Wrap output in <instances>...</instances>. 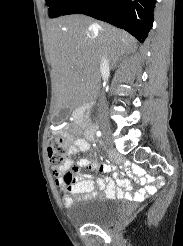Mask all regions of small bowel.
Here are the masks:
<instances>
[{
	"mask_svg": "<svg viewBox=\"0 0 183 246\" xmlns=\"http://www.w3.org/2000/svg\"><path fill=\"white\" fill-rule=\"evenodd\" d=\"M67 139H70L69 135H66ZM89 139V138H88ZM90 145L87 139L79 138L68 147V155L72 156L78 152H88ZM88 169L89 173H78L79 169ZM121 170H125L127 173L126 178L118 173H114L113 180L107 176L114 170V166L108 163H100L90 158H82L76 164H73L71 159H67L64 166L60 170L54 171L55 184L60 190L65 205L70 206L74 202L82 201L90 198L95 194V183L93 181V172L98 171L104 175V178H99L96 182L99 190H104L105 194L109 198H127L140 201L144 198H150V196L157 190V185H163V180H156L155 184L145 185L147 182H151L153 178L150 174H144L142 168L136 165H121ZM71 172V173H69ZM139 175L137 183L142 188L136 193L131 194L132 185L127 179H134V174ZM67 178H72L68 181ZM116 184L119 188H116Z\"/></svg>",
	"mask_w": 183,
	"mask_h": 246,
	"instance_id": "c3829d8e",
	"label": "small bowel"
}]
</instances>
